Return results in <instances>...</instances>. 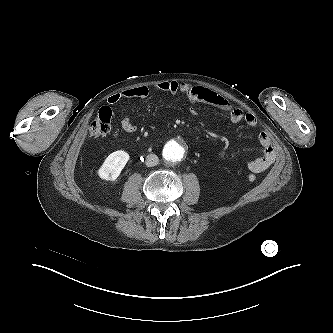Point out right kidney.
<instances>
[{
	"instance_id": "1",
	"label": "right kidney",
	"mask_w": 333,
	"mask_h": 333,
	"mask_svg": "<svg viewBox=\"0 0 333 333\" xmlns=\"http://www.w3.org/2000/svg\"><path fill=\"white\" fill-rule=\"evenodd\" d=\"M129 160V154L125 151L118 150L111 153L98 169L97 174L103 180L114 181L120 175Z\"/></svg>"
}]
</instances>
